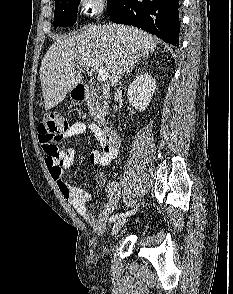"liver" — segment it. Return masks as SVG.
<instances>
[{"label":"liver","mask_w":233,"mask_h":294,"mask_svg":"<svg viewBox=\"0 0 233 294\" xmlns=\"http://www.w3.org/2000/svg\"><path fill=\"white\" fill-rule=\"evenodd\" d=\"M156 47L157 40L149 33L116 24L88 26L77 35L57 38L40 67L45 110L61 103L81 83L78 69L84 59L104 63L110 84L115 85L124 72Z\"/></svg>","instance_id":"6515ba94"}]
</instances>
